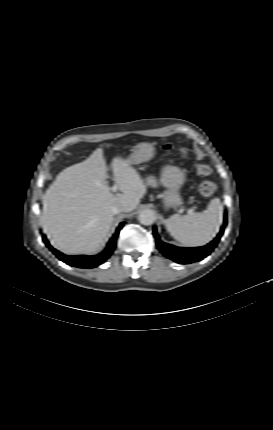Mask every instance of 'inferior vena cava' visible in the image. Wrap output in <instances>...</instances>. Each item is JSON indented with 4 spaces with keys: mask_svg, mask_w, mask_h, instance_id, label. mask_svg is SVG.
Returning <instances> with one entry per match:
<instances>
[{
    "mask_svg": "<svg viewBox=\"0 0 273 430\" xmlns=\"http://www.w3.org/2000/svg\"><path fill=\"white\" fill-rule=\"evenodd\" d=\"M111 211L113 214H118L120 212H124L125 206L122 203H116L111 207Z\"/></svg>",
    "mask_w": 273,
    "mask_h": 430,
    "instance_id": "obj_1",
    "label": "inferior vena cava"
}]
</instances>
